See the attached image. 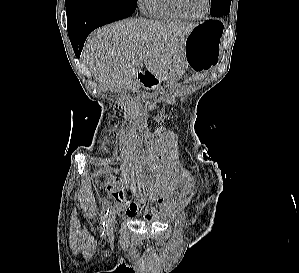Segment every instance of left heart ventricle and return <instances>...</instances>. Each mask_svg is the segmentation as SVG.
<instances>
[{
  "instance_id": "left-heart-ventricle-1",
  "label": "left heart ventricle",
  "mask_w": 299,
  "mask_h": 273,
  "mask_svg": "<svg viewBox=\"0 0 299 273\" xmlns=\"http://www.w3.org/2000/svg\"><path fill=\"white\" fill-rule=\"evenodd\" d=\"M182 3L187 13L192 16L201 15L206 6L205 0H182Z\"/></svg>"
}]
</instances>
